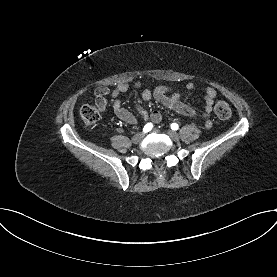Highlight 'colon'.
I'll return each instance as SVG.
<instances>
[{
  "label": "colon",
  "mask_w": 277,
  "mask_h": 277,
  "mask_svg": "<svg viewBox=\"0 0 277 277\" xmlns=\"http://www.w3.org/2000/svg\"><path fill=\"white\" fill-rule=\"evenodd\" d=\"M106 109L104 102L95 101V103L86 104L80 111V118L84 125L92 126L99 121ZM218 118L226 120L231 116V108L226 101L220 100L214 108Z\"/></svg>",
  "instance_id": "1"
}]
</instances>
